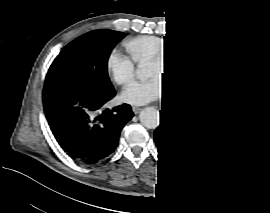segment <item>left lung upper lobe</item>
Listing matches in <instances>:
<instances>
[{"label":"left lung upper lobe","mask_w":270,"mask_h":213,"mask_svg":"<svg viewBox=\"0 0 270 213\" xmlns=\"http://www.w3.org/2000/svg\"><path fill=\"white\" fill-rule=\"evenodd\" d=\"M200 58L198 85L192 87L186 94L177 100L202 101L218 97L226 92L227 72L217 56L203 43L193 41Z\"/></svg>","instance_id":"obj_1"}]
</instances>
